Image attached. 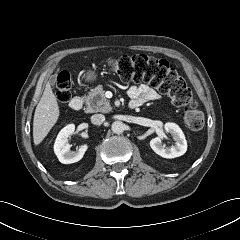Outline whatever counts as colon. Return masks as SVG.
Listing matches in <instances>:
<instances>
[{"mask_svg":"<svg viewBox=\"0 0 240 240\" xmlns=\"http://www.w3.org/2000/svg\"><path fill=\"white\" fill-rule=\"evenodd\" d=\"M108 66L121 80L150 84L170 97L176 106L183 108L184 121L191 130L203 127L204 115L198 108L190 87L167 61L138 54L110 59ZM56 98L61 105L68 103L71 98V77L67 72L58 75Z\"/></svg>","mask_w":240,"mask_h":240,"instance_id":"obj_1","label":"colon"}]
</instances>
